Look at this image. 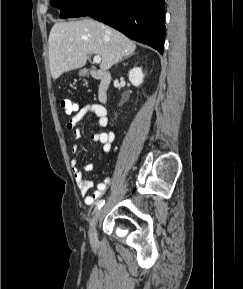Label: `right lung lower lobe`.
Masks as SVG:
<instances>
[{
    "label": "right lung lower lobe",
    "mask_w": 243,
    "mask_h": 289,
    "mask_svg": "<svg viewBox=\"0 0 243 289\" xmlns=\"http://www.w3.org/2000/svg\"><path fill=\"white\" fill-rule=\"evenodd\" d=\"M82 16H90L163 53L164 0H89L70 17Z\"/></svg>",
    "instance_id": "obj_1"
}]
</instances>
